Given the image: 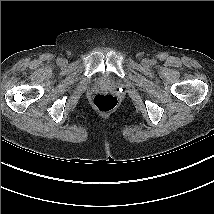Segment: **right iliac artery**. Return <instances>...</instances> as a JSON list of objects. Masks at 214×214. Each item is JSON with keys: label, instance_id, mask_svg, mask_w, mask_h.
Segmentation results:
<instances>
[{"label": "right iliac artery", "instance_id": "right-iliac-artery-1", "mask_svg": "<svg viewBox=\"0 0 214 214\" xmlns=\"http://www.w3.org/2000/svg\"><path fill=\"white\" fill-rule=\"evenodd\" d=\"M62 61H63L62 58H58V59H57V64H58V65H61V64H62Z\"/></svg>", "mask_w": 214, "mask_h": 214}]
</instances>
